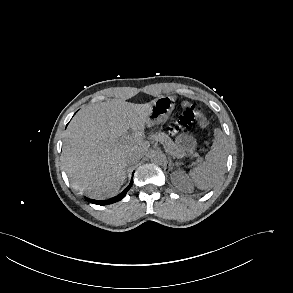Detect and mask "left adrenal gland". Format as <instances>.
<instances>
[{"label": "left adrenal gland", "instance_id": "a2214340", "mask_svg": "<svg viewBox=\"0 0 293 293\" xmlns=\"http://www.w3.org/2000/svg\"><path fill=\"white\" fill-rule=\"evenodd\" d=\"M174 163L172 162L171 158H169V171L172 170V166Z\"/></svg>", "mask_w": 293, "mask_h": 293}]
</instances>
